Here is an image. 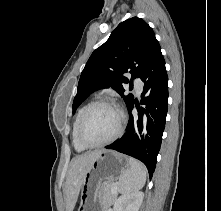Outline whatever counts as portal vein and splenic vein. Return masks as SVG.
Wrapping results in <instances>:
<instances>
[{
  "mask_svg": "<svg viewBox=\"0 0 221 211\" xmlns=\"http://www.w3.org/2000/svg\"><path fill=\"white\" fill-rule=\"evenodd\" d=\"M113 192L117 191V185L114 186V188L112 189Z\"/></svg>",
  "mask_w": 221,
  "mask_h": 211,
  "instance_id": "1",
  "label": "portal vein and splenic vein"
}]
</instances>
